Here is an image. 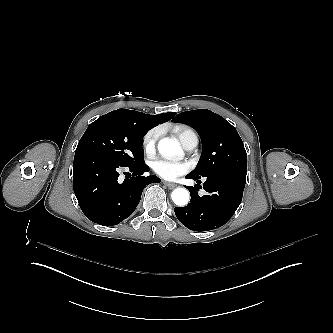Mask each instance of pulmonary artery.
<instances>
[{"label": "pulmonary artery", "mask_w": 333, "mask_h": 333, "mask_svg": "<svg viewBox=\"0 0 333 333\" xmlns=\"http://www.w3.org/2000/svg\"><path fill=\"white\" fill-rule=\"evenodd\" d=\"M183 145L187 151L194 150L198 145L197 134L193 130H188L183 137Z\"/></svg>", "instance_id": "1"}]
</instances>
